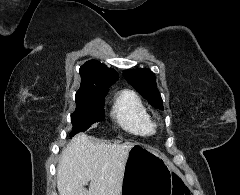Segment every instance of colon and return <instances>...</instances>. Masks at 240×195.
<instances>
[{
  "mask_svg": "<svg viewBox=\"0 0 240 195\" xmlns=\"http://www.w3.org/2000/svg\"><path fill=\"white\" fill-rule=\"evenodd\" d=\"M174 195H189V190L186 186H174Z\"/></svg>",
  "mask_w": 240,
  "mask_h": 195,
  "instance_id": "1",
  "label": "colon"
}]
</instances>
